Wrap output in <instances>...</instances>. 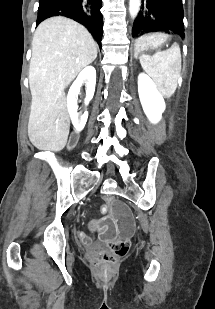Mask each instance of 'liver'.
Here are the masks:
<instances>
[{
	"instance_id": "liver-1",
	"label": "liver",
	"mask_w": 215,
	"mask_h": 309,
	"mask_svg": "<svg viewBox=\"0 0 215 309\" xmlns=\"http://www.w3.org/2000/svg\"><path fill=\"white\" fill-rule=\"evenodd\" d=\"M96 56L97 42L83 24L51 16L37 26L28 76L32 94L28 136L39 150L64 148L70 128L64 88Z\"/></svg>"
}]
</instances>
